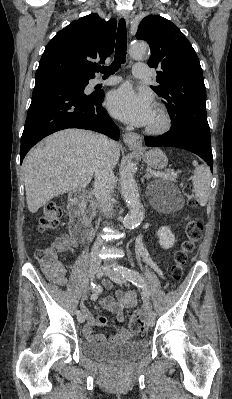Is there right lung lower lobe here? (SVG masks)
Segmentation results:
<instances>
[{"label":"right lung lower lobe","instance_id":"obj_1","mask_svg":"<svg viewBox=\"0 0 232 399\" xmlns=\"http://www.w3.org/2000/svg\"><path fill=\"white\" fill-rule=\"evenodd\" d=\"M68 79H36L21 137L20 163L42 138L66 128L94 130L119 139L118 127L101 105L103 92L85 94L86 86Z\"/></svg>","mask_w":232,"mask_h":399}]
</instances>
